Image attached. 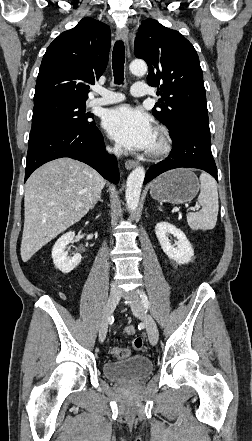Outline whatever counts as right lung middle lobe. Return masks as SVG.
Here are the masks:
<instances>
[{"label": "right lung middle lobe", "mask_w": 252, "mask_h": 441, "mask_svg": "<svg viewBox=\"0 0 252 441\" xmlns=\"http://www.w3.org/2000/svg\"><path fill=\"white\" fill-rule=\"evenodd\" d=\"M85 101L47 100L34 104L32 128L39 126L85 127L94 117L85 113Z\"/></svg>", "instance_id": "1"}]
</instances>
